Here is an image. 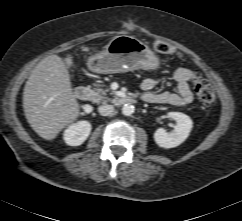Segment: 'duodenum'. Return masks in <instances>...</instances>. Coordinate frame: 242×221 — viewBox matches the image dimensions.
Listing matches in <instances>:
<instances>
[{"mask_svg":"<svg viewBox=\"0 0 242 221\" xmlns=\"http://www.w3.org/2000/svg\"><path fill=\"white\" fill-rule=\"evenodd\" d=\"M75 96L78 100H80L82 102H86L91 99L92 94H91L90 89H88L87 87L79 86L75 90ZM136 101H137V99L135 97L123 96V97L116 98L114 100V103L117 106H124V105L133 104Z\"/></svg>","mask_w":242,"mask_h":221,"instance_id":"duodenum-1","label":"duodenum"}]
</instances>
